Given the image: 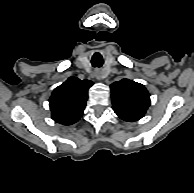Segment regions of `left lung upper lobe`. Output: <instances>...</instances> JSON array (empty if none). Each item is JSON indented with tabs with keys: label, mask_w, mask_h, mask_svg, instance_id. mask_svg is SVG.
<instances>
[{
	"label": "left lung upper lobe",
	"mask_w": 194,
	"mask_h": 193,
	"mask_svg": "<svg viewBox=\"0 0 194 193\" xmlns=\"http://www.w3.org/2000/svg\"><path fill=\"white\" fill-rule=\"evenodd\" d=\"M110 88L113 109L122 120L137 121L144 116L150 105V95L142 84L122 79Z\"/></svg>",
	"instance_id": "left-lung-upper-lobe-1"
}]
</instances>
